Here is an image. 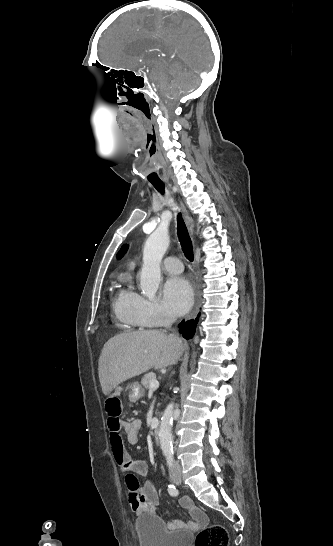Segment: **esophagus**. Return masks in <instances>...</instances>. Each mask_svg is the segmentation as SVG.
<instances>
[{"label": "esophagus", "instance_id": "34e87169", "mask_svg": "<svg viewBox=\"0 0 333 546\" xmlns=\"http://www.w3.org/2000/svg\"><path fill=\"white\" fill-rule=\"evenodd\" d=\"M182 208H183V211H184V214H185V217L187 219V227H188V230L190 232L191 235H193V232H194V229H193V225L189 219V216L187 214V211L185 210V207L182 205ZM199 305V301H198V296H196V301H195V309H197Z\"/></svg>", "mask_w": 333, "mask_h": 546}]
</instances>
